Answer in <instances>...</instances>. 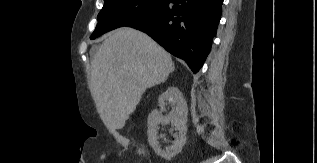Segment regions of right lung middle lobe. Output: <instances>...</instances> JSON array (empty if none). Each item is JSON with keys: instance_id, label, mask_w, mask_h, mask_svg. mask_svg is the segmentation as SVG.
<instances>
[{"instance_id": "right-lung-middle-lobe-1", "label": "right lung middle lobe", "mask_w": 317, "mask_h": 163, "mask_svg": "<svg viewBox=\"0 0 317 163\" xmlns=\"http://www.w3.org/2000/svg\"><path fill=\"white\" fill-rule=\"evenodd\" d=\"M168 0H104V6L98 14V24L91 35L95 39L113 29L126 26L140 19Z\"/></svg>"}]
</instances>
